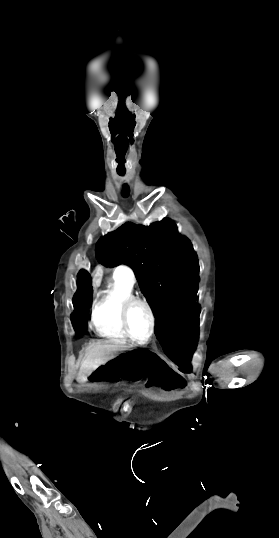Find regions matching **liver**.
Returning <instances> with one entry per match:
<instances>
[{
    "instance_id": "1",
    "label": "liver",
    "mask_w": 279,
    "mask_h": 538,
    "mask_svg": "<svg viewBox=\"0 0 279 538\" xmlns=\"http://www.w3.org/2000/svg\"><path fill=\"white\" fill-rule=\"evenodd\" d=\"M126 346H122L119 342H104V344H94L91 346L86 358L81 364L79 378H86L88 374H92L102 364H106L108 360L115 358L114 354L124 350Z\"/></svg>"
}]
</instances>
